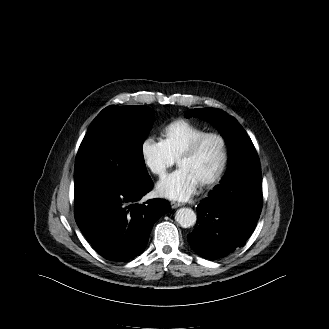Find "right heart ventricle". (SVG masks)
Returning <instances> with one entry per match:
<instances>
[{
  "label": "right heart ventricle",
  "instance_id": "e07e8e85",
  "mask_svg": "<svg viewBox=\"0 0 329 329\" xmlns=\"http://www.w3.org/2000/svg\"><path fill=\"white\" fill-rule=\"evenodd\" d=\"M206 132L200 127L185 119H177L167 124L162 132V141L171 155L177 159L182 151L198 136Z\"/></svg>",
  "mask_w": 329,
  "mask_h": 329
}]
</instances>
